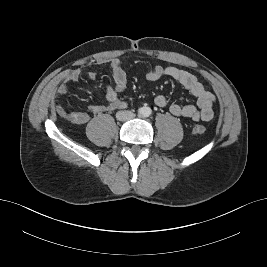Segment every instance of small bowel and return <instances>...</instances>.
<instances>
[{"label":"small bowel","instance_id":"small-bowel-1","mask_svg":"<svg viewBox=\"0 0 267 267\" xmlns=\"http://www.w3.org/2000/svg\"><path fill=\"white\" fill-rule=\"evenodd\" d=\"M99 64H106L109 66L113 84H108L106 87V104L90 105L89 111L94 115H100L108 111L124 109L126 103L120 98V94L126 89L127 77L125 72V60L122 58H113L107 61L100 62ZM81 71L74 69L69 71L56 88L57 97V114L63 118L69 119L71 122L83 125L86 124L90 117L87 112L76 111L68 113L61 103V97L67 93V85L79 80ZM168 77L182 85L194 97H196V105L180 104L173 102L169 104L168 99L164 95H157L154 99V104L159 108L169 107L171 114L181 118H190L194 121H209L213 118V106L216 102V97L213 93L207 91L202 83L191 73L174 66L162 67L155 66L151 68L147 74L148 81H157L161 78ZM88 78L91 80L96 79V73L93 71L88 72Z\"/></svg>","mask_w":267,"mask_h":267}]
</instances>
